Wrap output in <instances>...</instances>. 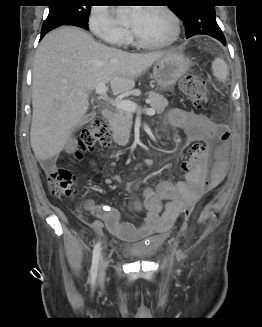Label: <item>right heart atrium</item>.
<instances>
[{
	"label": "right heart atrium",
	"mask_w": 262,
	"mask_h": 327,
	"mask_svg": "<svg viewBox=\"0 0 262 327\" xmlns=\"http://www.w3.org/2000/svg\"><path fill=\"white\" fill-rule=\"evenodd\" d=\"M88 27L100 41L112 46L122 47L129 40V32L116 23L111 9L105 5L91 8Z\"/></svg>",
	"instance_id": "1"
}]
</instances>
